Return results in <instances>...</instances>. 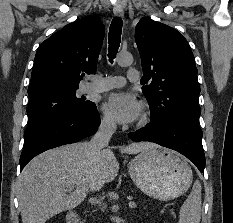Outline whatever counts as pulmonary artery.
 Instances as JSON below:
<instances>
[{"instance_id": "e3ab8cb5", "label": "pulmonary artery", "mask_w": 233, "mask_h": 223, "mask_svg": "<svg viewBox=\"0 0 233 223\" xmlns=\"http://www.w3.org/2000/svg\"><path fill=\"white\" fill-rule=\"evenodd\" d=\"M127 78L132 82L137 81L139 79V70L130 69L127 73ZM93 81L89 86V90L103 92L122 86L125 83V78L121 76H110L106 78L96 76L93 78Z\"/></svg>"}]
</instances>
